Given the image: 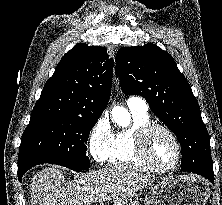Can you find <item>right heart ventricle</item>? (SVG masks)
<instances>
[{"label": "right heart ventricle", "mask_w": 222, "mask_h": 205, "mask_svg": "<svg viewBox=\"0 0 222 205\" xmlns=\"http://www.w3.org/2000/svg\"><path fill=\"white\" fill-rule=\"evenodd\" d=\"M130 109V108H129ZM132 122L113 134L106 162L111 166L129 167L147 172H155L138 155L136 149V132L142 125L150 122L147 112L130 109Z\"/></svg>", "instance_id": "obj_1"}]
</instances>
